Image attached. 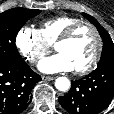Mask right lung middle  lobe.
Instances as JSON below:
<instances>
[{"label":"right lung middle lobe","mask_w":114,"mask_h":114,"mask_svg":"<svg viewBox=\"0 0 114 114\" xmlns=\"http://www.w3.org/2000/svg\"><path fill=\"white\" fill-rule=\"evenodd\" d=\"M39 13L35 9L13 8L0 14V63L24 61L15 45L16 36L26 21Z\"/></svg>","instance_id":"1"}]
</instances>
